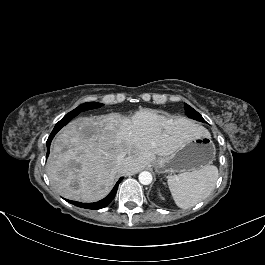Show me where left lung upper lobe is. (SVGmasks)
Returning a JSON list of instances; mask_svg holds the SVG:
<instances>
[{"label":"left lung upper lobe","mask_w":265,"mask_h":265,"mask_svg":"<svg viewBox=\"0 0 265 265\" xmlns=\"http://www.w3.org/2000/svg\"><path fill=\"white\" fill-rule=\"evenodd\" d=\"M185 110H186V114L189 118L195 119L197 121L205 122V120L202 118V116L196 110H194L192 107H190L189 105L185 104Z\"/></svg>","instance_id":"5c2ea615"}]
</instances>
